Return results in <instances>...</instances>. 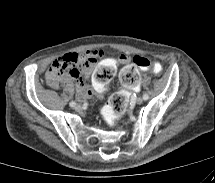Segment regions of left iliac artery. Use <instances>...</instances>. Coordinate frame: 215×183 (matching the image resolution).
Listing matches in <instances>:
<instances>
[{
	"label": "left iliac artery",
	"mask_w": 215,
	"mask_h": 183,
	"mask_svg": "<svg viewBox=\"0 0 215 183\" xmlns=\"http://www.w3.org/2000/svg\"><path fill=\"white\" fill-rule=\"evenodd\" d=\"M148 98H149V95H148L147 93H145V94L143 95V99H144V100H148Z\"/></svg>",
	"instance_id": "44dca946"
}]
</instances>
